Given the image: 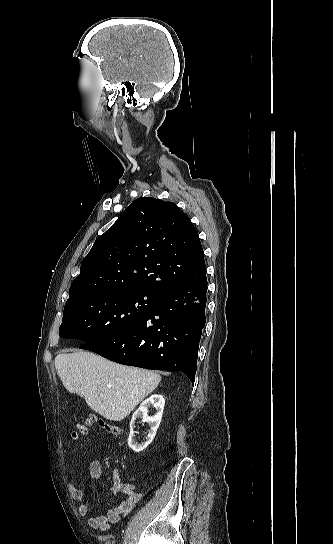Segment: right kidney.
Returning a JSON list of instances; mask_svg holds the SVG:
<instances>
[{
    "mask_svg": "<svg viewBox=\"0 0 333 544\" xmlns=\"http://www.w3.org/2000/svg\"><path fill=\"white\" fill-rule=\"evenodd\" d=\"M165 405V399L160 394H153L146 400H144L139 408L134 412L132 416V420L130 422V434L128 438V445L134 452H141L143 451L154 439L156 435V431L160 425L162 414L164 410ZM150 406H153L157 412L154 416L149 417L148 416V408ZM137 418H141L143 422H147L150 425V430L148 432V435L146 437V441L144 443H138L134 439V424L135 420Z\"/></svg>",
    "mask_w": 333,
    "mask_h": 544,
    "instance_id": "right-kidney-1",
    "label": "right kidney"
}]
</instances>
